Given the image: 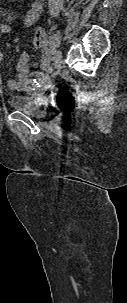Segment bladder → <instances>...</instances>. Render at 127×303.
Listing matches in <instances>:
<instances>
[{"label":"bladder","mask_w":127,"mask_h":303,"mask_svg":"<svg viewBox=\"0 0 127 303\" xmlns=\"http://www.w3.org/2000/svg\"><path fill=\"white\" fill-rule=\"evenodd\" d=\"M8 103L14 110L23 112L31 117L42 118L46 113L45 101L32 93L11 95L8 98Z\"/></svg>","instance_id":"obj_1"}]
</instances>
